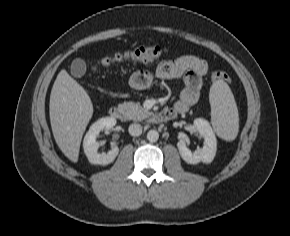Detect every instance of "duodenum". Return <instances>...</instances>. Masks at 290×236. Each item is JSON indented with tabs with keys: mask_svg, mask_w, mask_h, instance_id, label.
Returning <instances> with one entry per match:
<instances>
[{
	"mask_svg": "<svg viewBox=\"0 0 290 236\" xmlns=\"http://www.w3.org/2000/svg\"><path fill=\"white\" fill-rule=\"evenodd\" d=\"M184 112L180 109H164L155 114L154 120L158 123L168 122L173 120L179 113ZM109 114L111 117L117 120H124L126 119V115L121 107L119 106H112L109 110Z\"/></svg>",
	"mask_w": 290,
	"mask_h": 236,
	"instance_id": "1",
	"label": "duodenum"
}]
</instances>
